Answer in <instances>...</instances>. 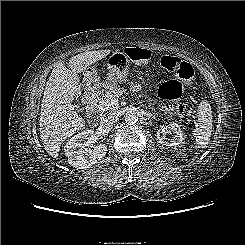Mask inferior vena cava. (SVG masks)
Returning a JSON list of instances; mask_svg holds the SVG:
<instances>
[{"label":"inferior vena cava","instance_id":"602c4592","mask_svg":"<svg viewBox=\"0 0 245 245\" xmlns=\"http://www.w3.org/2000/svg\"><path fill=\"white\" fill-rule=\"evenodd\" d=\"M118 121V115L115 112H110L108 114L103 115L101 119V125L103 127L110 128Z\"/></svg>","mask_w":245,"mask_h":245}]
</instances>
